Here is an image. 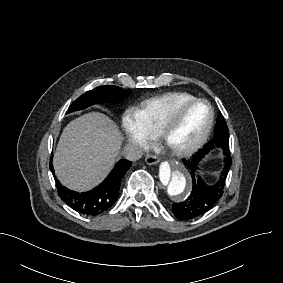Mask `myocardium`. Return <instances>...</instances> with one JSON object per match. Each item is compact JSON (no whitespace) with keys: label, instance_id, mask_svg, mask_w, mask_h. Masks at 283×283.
Segmentation results:
<instances>
[{"label":"myocardium","instance_id":"myocardium-1","mask_svg":"<svg viewBox=\"0 0 283 283\" xmlns=\"http://www.w3.org/2000/svg\"><path fill=\"white\" fill-rule=\"evenodd\" d=\"M171 102H173L171 99H165L163 101L162 109L158 115L157 138L159 142L163 145V147L171 154L179 158H185L196 153L199 149L203 147V145L209 139L215 122V111L212 104L208 100L203 98H195L184 102H176L178 108H186L198 103L206 104L209 110V120L207 122L206 127L200 134V136L192 145L184 149L174 150L168 146V132L166 131V117H165V109L167 105Z\"/></svg>","mask_w":283,"mask_h":283}]
</instances>
